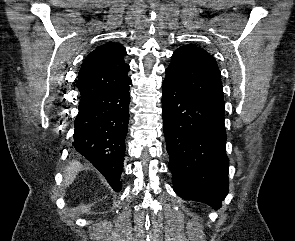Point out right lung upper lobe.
Listing matches in <instances>:
<instances>
[{
	"mask_svg": "<svg viewBox=\"0 0 295 241\" xmlns=\"http://www.w3.org/2000/svg\"><path fill=\"white\" fill-rule=\"evenodd\" d=\"M126 50L121 44L97 47L84 60L78 76L81 97L117 88L130 79L129 65L124 62Z\"/></svg>",
	"mask_w": 295,
	"mask_h": 241,
	"instance_id": "right-lung-upper-lobe-1",
	"label": "right lung upper lobe"
}]
</instances>
